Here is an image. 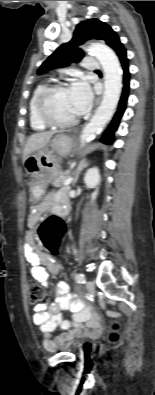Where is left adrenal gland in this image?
<instances>
[{
	"label": "left adrenal gland",
	"instance_id": "obj_1",
	"mask_svg": "<svg viewBox=\"0 0 155 395\" xmlns=\"http://www.w3.org/2000/svg\"><path fill=\"white\" fill-rule=\"evenodd\" d=\"M88 165H89V162H88L86 159L82 160V161L77 165V167H76V169H75V177H74V180H73V182H72V186H74V185L76 184V182H77V180H78V178H79V175H80L81 171H82L84 168H86Z\"/></svg>",
	"mask_w": 155,
	"mask_h": 395
}]
</instances>
